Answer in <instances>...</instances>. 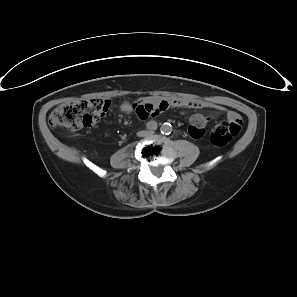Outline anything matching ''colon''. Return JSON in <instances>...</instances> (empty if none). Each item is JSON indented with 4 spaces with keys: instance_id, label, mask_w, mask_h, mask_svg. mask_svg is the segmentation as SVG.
Instances as JSON below:
<instances>
[{
    "instance_id": "5ec220e1",
    "label": "colon",
    "mask_w": 297,
    "mask_h": 297,
    "mask_svg": "<svg viewBox=\"0 0 297 297\" xmlns=\"http://www.w3.org/2000/svg\"><path fill=\"white\" fill-rule=\"evenodd\" d=\"M110 106L108 100L102 98L80 99L64 103L55 108L50 116L52 127H63L76 131L95 125L105 115ZM242 126L239 115L228 121L220 122L211 130L210 140L216 146H224L236 136Z\"/></svg>"
}]
</instances>
